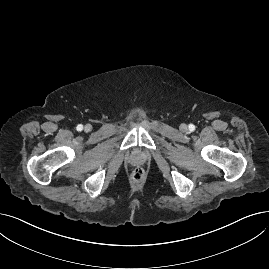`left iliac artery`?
Listing matches in <instances>:
<instances>
[{"instance_id": "left-iliac-artery-1", "label": "left iliac artery", "mask_w": 269, "mask_h": 269, "mask_svg": "<svg viewBox=\"0 0 269 269\" xmlns=\"http://www.w3.org/2000/svg\"><path fill=\"white\" fill-rule=\"evenodd\" d=\"M189 130H190L191 132H193V131L195 130V126H194L193 124H190V125H189Z\"/></svg>"}]
</instances>
